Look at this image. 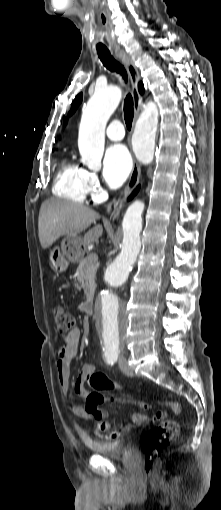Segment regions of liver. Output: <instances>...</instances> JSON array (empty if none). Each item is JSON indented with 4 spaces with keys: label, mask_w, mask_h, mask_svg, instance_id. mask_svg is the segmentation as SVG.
Listing matches in <instances>:
<instances>
[{
    "label": "liver",
    "mask_w": 221,
    "mask_h": 510,
    "mask_svg": "<svg viewBox=\"0 0 221 510\" xmlns=\"http://www.w3.org/2000/svg\"><path fill=\"white\" fill-rule=\"evenodd\" d=\"M99 218L100 215L87 206L56 198L48 199L42 203L39 213L40 244L46 249L61 236L75 237ZM102 233V225H95L85 233L83 245L97 241Z\"/></svg>",
    "instance_id": "6515ba94"
}]
</instances>
